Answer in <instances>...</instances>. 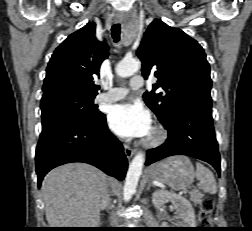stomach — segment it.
<instances>
[{
	"instance_id": "1",
	"label": "stomach",
	"mask_w": 252,
	"mask_h": 231,
	"mask_svg": "<svg viewBox=\"0 0 252 231\" xmlns=\"http://www.w3.org/2000/svg\"><path fill=\"white\" fill-rule=\"evenodd\" d=\"M148 174L152 180L167 184L175 190H181L191 185L195 171L188 157L172 156L153 165Z\"/></svg>"
}]
</instances>
